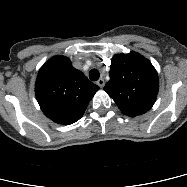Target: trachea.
I'll list each match as a JSON object with an SVG mask.
<instances>
[{
    "label": "trachea",
    "instance_id": "3493384b",
    "mask_svg": "<svg viewBox=\"0 0 187 187\" xmlns=\"http://www.w3.org/2000/svg\"><path fill=\"white\" fill-rule=\"evenodd\" d=\"M100 77V74H99V71L97 69H92L90 72H89V78L90 80L92 81H97Z\"/></svg>",
    "mask_w": 187,
    "mask_h": 187
}]
</instances>
